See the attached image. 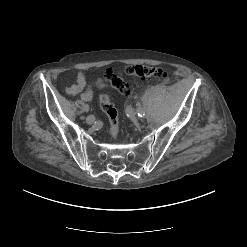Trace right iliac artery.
<instances>
[{
  "label": "right iliac artery",
  "mask_w": 247,
  "mask_h": 247,
  "mask_svg": "<svg viewBox=\"0 0 247 247\" xmlns=\"http://www.w3.org/2000/svg\"><path fill=\"white\" fill-rule=\"evenodd\" d=\"M82 108H83V110L88 111L90 107H89V105L84 104Z\"/></svg>",
  "instance_id": "82829eb1"
}]
</instances>
